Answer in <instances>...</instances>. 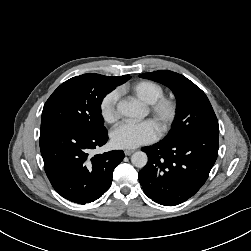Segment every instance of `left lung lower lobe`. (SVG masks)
<instances>
[{
	"mask_svg": "<svg viewBox=\"0 0 251 251\" xmlns=\"http://www.w3.org/2000/svg\"><path fill=\"white\" fill-rule=\"evenodd\" d=\"M218 139V134L200 133L144 147L148 163L138 174L144 193L165 206L188 200L209 176L218 154Z\"/></svg>",
	"mask_w": 251,
	"mask_h": 251,
	"instance_id": "1",
	"label": "left lung lower lobe"
}]
</instances>
